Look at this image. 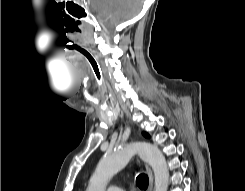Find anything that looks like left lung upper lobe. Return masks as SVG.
<instances>
[{
	"label": "left lung upper lobe",
	"mask_w": 245,
	"mask_h": 191,
	"mask_svg": "<svg viewBox=\"0 0 245 191\" xmlns=\"http://www.w3.org/2000/svg\"><path fill=\"white\" fill-rule=\"evenodd\" d=\"M143 135L146 137V138H149V135L147 133H143Z\"/></svg>",
	"instance_id": "left-lung-upper-lobe-1"
}]
</instances>
